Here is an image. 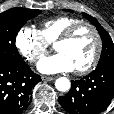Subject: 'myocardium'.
<instances>
[{"label":"myocardium","mask_w":114,"mask_h":114,"mask_svg":"<svg viewBox=\"0 0 114 114\" xmlns=\"http://www.w3.org/2000/svg\"><path fill=\"white\" fill-rule=\"evenodd\" d=\"M83 27L88 28L93 33L95 40H96V48H95V51H94V54H93L91 60L85 66L75 69V72L80 75L86 74V73L90 72L91 70H93L96 67V65L100 59L101 52L103 49V41H102L101 35H100L99 31L97 30V28L93 24H91L87 21H79V22L69 26L58 37V39L55 42V45H56L61 42L69 41L70 39L73 38V36L76 34V32Z\"/></svg>","instance_id":"obj_1"}]
</instances>
